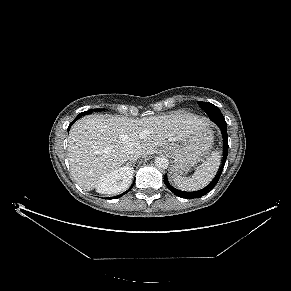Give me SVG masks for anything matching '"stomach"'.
Listing matches in <instances>:
<instances>
[{"label":"stomach","instance_id":"stomach-1","mask_svg":"<svg viewBox=\"0 0 291 291\" xmlns=\"http://www.w3.org/2000/svg\"><path fill=\"white\" fill-rule=\"evenodd\" d=\"M213 141V132L207 126L180 142L165 145L164 152L173 159L171 168L173 178L182 177L195 166L211 149Z\"/></svg>","mask_w":291,"mask_h":291}]
</instances>
